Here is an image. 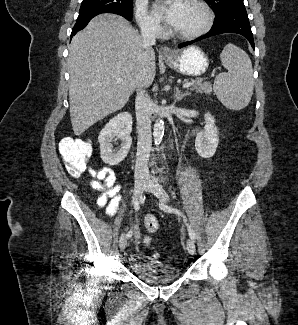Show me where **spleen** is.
Segmentation results:
<instances>
[{
  "mask_svg": "<svg viewBox=\"0 0 298 325\" xmlns=\"http://www.w3.org/2000/svg\"><path fill=\"white\" fill-rule=\"evenodd\" d=\"M220 58L228 72L217 74L213 84L214 94L226 108L241 110L249 104L254 90L250 56L245 50L229 42L221 50Z\"/></svg>",
  "mask_w": 298,
  "mask_h": 325,
  "instance_id": "obj_1",
  "label": "spleen"
}]
</instances>
